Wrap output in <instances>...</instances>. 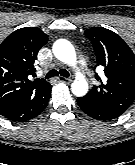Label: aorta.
Returning <instances> with one entry per match:
<instances>
[{
  "mask_svg": "<svg viewBox=\"0 0 135 165\" xmlns=\"http://www.w3.org/2000/svg\"><path fill=\"white\" fill-rule=\"evenodd\" d=\"M55 57L70 65L76 64V52L73 45L67 40H58L53 45ZM71 91L74 95L81 97L88 91V83L83 76L78 75L71 85Z\"/></svg>",
  "mask_w": 135,
  "mask_h": 165,
  "instance_id": "obj_1",
  "label": "aorta"
}]
</instances>
